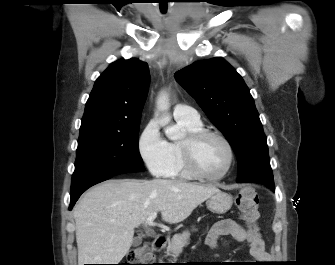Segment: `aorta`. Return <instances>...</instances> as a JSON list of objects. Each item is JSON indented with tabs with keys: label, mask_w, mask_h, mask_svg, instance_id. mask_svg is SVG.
Segmentation results:
<instances>
[{
	"label": "aorta",
	"mask_w": 335,
	"mask_h": 265,
	"mask_svg": "<svg viewBox=\"0 0 335 265\" xmlns=\"http://www.w3.org/2000/svg\"><path fill=\"white\" fill-rule=\"evenodd\" d=\"M157 108L164 113V117L161 121V124L163 126H166L164 128L166 136L170 140H177L180 138L181 134L179 130L176 127L173 126H167L170 122V118L167 114L169 110V98L166 92H161L157 99Z\"/></svg>",
	"instance_id": "aorta-1"
}]
</instances>
